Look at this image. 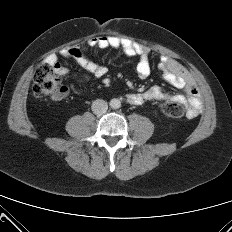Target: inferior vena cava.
Segmentation results:
<instances>
[{"label":"inferior vena cava","mask_w":232,"mask_h":232,"mask_svg":"<svg viewBox=\"0 0 232 232\" xmlns=\"http://www.w3.org/2000/svg\"><path fill=\"white\" fill-rule=\"evenodd\" d=\"M92 111L94 114L96 115H102L104 113H106L107 109H108V104L106 101L102 100V99H97L92 103Z\"/></svg>","instance_id":"1"}]
</instances>
